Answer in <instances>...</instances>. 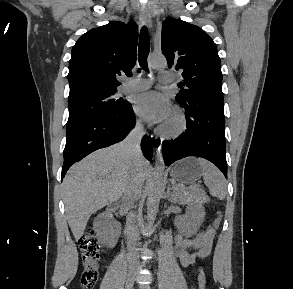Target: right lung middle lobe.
<instances>
[{"instance_id": "obj_1", "label": "right lung middle lobe", "mask_w": 293, "mask_h": 289, "mask_svg": "<svg viewBox=\"0 0 293 289\" xmlns=\"http://www.w3.org/2000/svg\"><path fill=\"white\" fill-rule=\"evenodd\" d=\"M116 92L82 97L69 101L67 127L85 119L125 109L130 103L117 98Z\"/></svg>"}]
</instances>
